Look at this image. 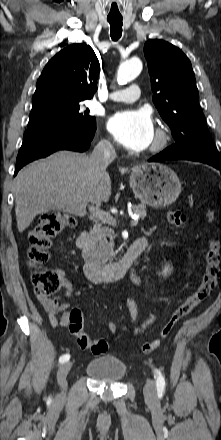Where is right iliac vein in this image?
I'll list each match as a JSON object with an SVG mask.
<instances>
[{
  "instance_id": "obj_1",
  "label": "right iliac vein",
  "mask_w": 221,
  "mask_h": 440,
  "mask_svg": "<svg viewBox=\"0 0 221 440\" xmlns=\"http://www.w3.org/2000/svg\"><path fill=\"white\" fill-rule=\"evenodd\" d=\"M71 367H72V363L66 362L59 367L58 372H57V380H58V384L62 390V392H61L62 396H65V394H66V389H67L66 377H67L68 372L70 371Z\"/></svg>"
}]
</instances>
